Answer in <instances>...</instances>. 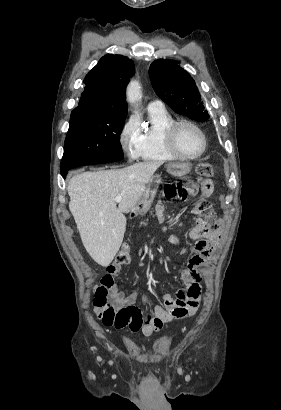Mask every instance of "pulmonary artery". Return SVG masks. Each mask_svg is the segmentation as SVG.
I'll list each match as a JSON object with an SVG mask.
<instances>
[{"instance_id":"1","label":"pulmonary artery","mask_w":281,"mask_h":410,"mask_svg":"<svg viewBox=\"0 0 281 410\" xmlns=\"http://www.w3.org/2000/svg\"><path fill=\"white\" fill-rule=\"evenodd\" d=\"M158 107H164L163 103L159 100L151 101L148 105V108H158Z\"/></svg>"}]
</instances>
